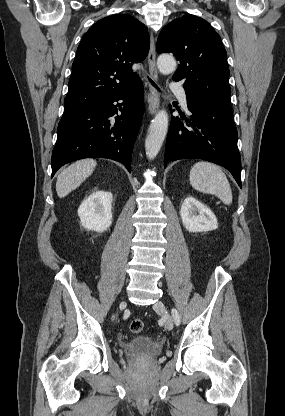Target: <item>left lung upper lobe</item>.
<instances>
[{
  "label": "left lung upper lobe",
  "instance_id": "left-lung-upper-lobe-1",
  "mask_svg": "<svg viewBox=\"0 0 285 416\" xmlns=\"http://www.w3.org/2000/svg\"><path fill=\"white\" fill-rule=\"evenodd\" d=\"M156 50L179 60L173 80L184 82L187 100L231 108L227 53L206 20L191 14L173 20L160 32Z\"/></svg>",
  "mask_w": 285,
  "mask_h": 416
}]
</instances>
